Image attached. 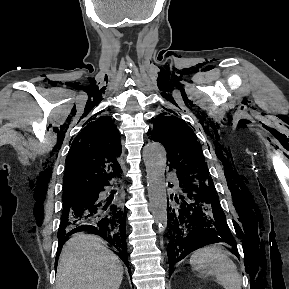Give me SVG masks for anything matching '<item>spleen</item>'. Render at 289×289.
<instances>
[{
	"label": "spleen",
	"mask_w": 289,
	"mask_h": 289,
	"mask_svg": "<svg viewBox=\"0 0 289 289\" xmlns=\"http://www.w3.org/2000/svg\"><path fill=\"white\" fill-rule=\"evenodd\" d=\"M191 266L202 276H215L224 289H241V277L228 252L217 244L196 250L190 258Z\"/></svg>",
	"instance_id": "spleen-1"
}]
</instances>
